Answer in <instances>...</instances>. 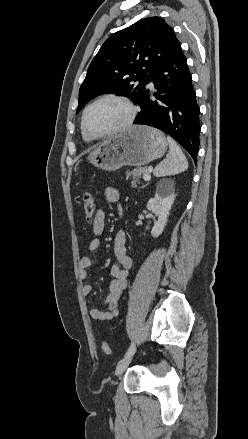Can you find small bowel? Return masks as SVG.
<instances>
[{
	"label": "small bowel",
	"instance_id": "1",
	"mask_svg": "<svg viewBox=\"0 0 248 439\" xmlns=\"http://www.w3.org/2000/svg\"><path fill=\"white\" fill-rule=\"evenodd\" d=\"M105 198L107 202L116 204L119 209V213L122 214V208L120 206V194L118 190L112 187H108L105 190ZM105 228V213L102 209H98L93 223L92 231L95 235L88 245L87 250L89 253H96L100 247V240L98 238ZM126 235L123 230H119L114 237V256L115 263L111 267V275L114 279L110 283V293L101 302V307L106 306L107 310L101 308H93L90 311V317L95 321H107L118 316V300L123 295L127 284L129 270L133 266V260L128 255L125 246ZM92 259L89 256H83L79 262V277L82 281L88 278V269L92 266ZM92 291V286L88 283H83L81 286V292L83 295H89Z\"/></svg>",
	"mask_w": 248,
	"mask_h": 439
}]
</instances>
